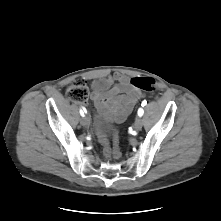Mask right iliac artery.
I'll use <instances>...</instances> for the list:
<instances>
[{
    "label": "right iliac artery",
    "instance_id": "obj_1",
    "mask_svg": "<svg viewBox=\"0 0 221 221\" xmlns=\"http://www.w3.org/2000/svg\"><path fill=\"white\" fill-rule=\"evenodd\" d=\"M85 113H86V109H85V108H83V109L80 110L81 116H84Z\"/></svg>",
    "mask_w": 221,
    "mask_h": 221
}]
</instances>
